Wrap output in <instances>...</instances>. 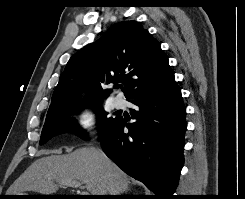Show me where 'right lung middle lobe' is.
I'll use <instances>...</instances> for the list:
<instances>
[{"label": "right lung middle lobe", "instance_id": "obj_1", "mask_svg": "<svg viewBox=\"0 0 245 199\" xmlns=\"http://www.w3.org/2000/svg\"><path fill=\"white\" fill-rule=\"evenodd\" d=\"M91 106L95 109L98 108V103H93ZM83 108V104H74L62 108L60 111L47 116L43 130L41 133L40 145L45 144L52 137L63 134L72 133L86 140V135L83 130L79 127L74 118L70 117V114L76 113L78 110ZM98 130L101 133L115 118H107V114L103 113L102 110H98Z\"/></svg>", "mask_w": 245, "mask_h": 199}]
</instances>
